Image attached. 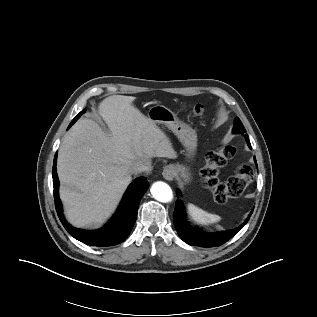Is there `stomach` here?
Returning <instances> with one entry per match:
<instances>
[{"label": "stomach", "mask_w": 317, "mask_h": 317, "mask_svg": "<svg viewBox=\"0 0 317 317\" xmlns=\"http://www.w3.org/2000/svg\"><path fill=\"white\" fill-rule=\"evenodd\" d=\"M148 118L155 124L163 125L170 129L184 146V154L191 158L197 149L196 131L189 125L182 122L177 115L164 105L156 104L149 108ZM176 176L180 177L185 183L192 178L190 169L183 164L169 165Z\"/></svg>", "instance_id": "obj_1"}]
</instances>
